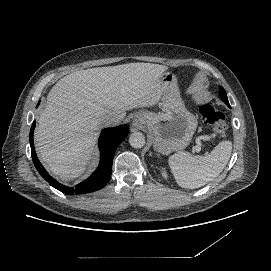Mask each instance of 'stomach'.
<instances>
[{
	"mask_svg": "<svg viewBox=\"0 0 271 271\" xmlns=\"http://www.w3.org/2000/svg\"><path fill=\"white\" fill-rule=\"evenodd\" d=\"M162 113L139 111V121L153 137L154 150L163 154L185 149L197 128V118L189 112L180 97L177 77L164 72L160 78Z\"/></svg>",
	"mask_w": 271,
	"mask_h": 271,
	"instance_id": "stomach-1",
	"label": "stomach"
}]
</instances>
